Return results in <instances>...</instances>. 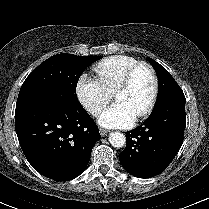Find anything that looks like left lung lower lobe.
<instances>
[{
  "label": "left lung lower lobe",
  "instance_id": "obj_1",
  "mask_svg": "<svg viewBox=\"0 0 209 209\" xmlns=\"http://www.w3.org/2000/svg\"><path fill=\"white\" fill-rule=\"evenodd\" d=\"M185 126V99L155 107L141 126L126 132L127 144L119 154L124 169L139 178L162 173L183 143Z\"/></svg>",
  "mask_w": 209,
  "mask_h": 209
}]
</instances>
